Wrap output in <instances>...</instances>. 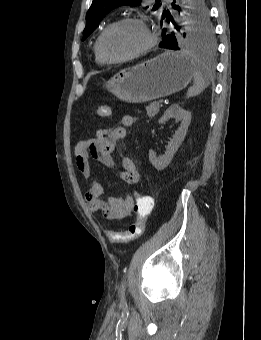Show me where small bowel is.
<instances>
[{
	"label": "small bowel",
	"instance_id": "obj_1",
	"mask_svg": "<svg viewBox=\"0 0 261 340\" xmlns=\"http://www.w3.org/2000/svg\"><path fill=\"white\" fill-rule=\"evenodd\" d=\"M135 121V117L126 115L121 120V127L99 129L95 137L80 140L74 149L77 169L85 180L90 181V189L85 196L89 210L92 213L101 212L105 218L110 220H121L128 217L132 212L134 199L131 195L121 198H103L102 184L91 175L90 158H95L106 167L114 168L116 163L113 153L116 149L120 150L118 142L125 138L126 128L131 127ZM119 177L130 185L139 182L140 175L132 158L122 156Z\"/></svg>",
	"mask_w": 261,
	"mask_h": 340
}]
</instances>
